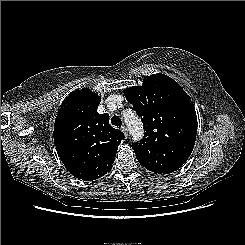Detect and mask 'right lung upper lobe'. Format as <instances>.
Instances as JSON below:
<instances>
[{"mask_svg": "<svg viewBox=\"0 0 245 245\" xmlns=\"http://www.w3.org/2000/svg\"><path fill=\"white\" fill-rule=\"evenodd\" d=\"M101 97L88 88L73 91L63 101L54 123V144L64 166L74 176L92 181L109 172L124 134L97 112Z\"/></svg>", "mask_w": 245, "mask_h": 245, "instance_id": "right-lung-upper-lobe-1", "label": "right lung upper lobe"}]
</instances>
